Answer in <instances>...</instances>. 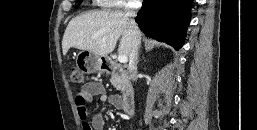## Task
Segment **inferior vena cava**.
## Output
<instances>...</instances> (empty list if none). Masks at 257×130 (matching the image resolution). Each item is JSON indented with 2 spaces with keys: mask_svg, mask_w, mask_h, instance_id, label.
I'll use <instances>...</instances> for the list:
<instances>
[{
  "mask_svg": "<svg viewBox=\"0 0 257 130\" xmlns=\"http://www.w3.org/2000/svg\"><path fill=\"white\" fill-rule=\"evenodd\" d=\"M125 17L128 19L129 29L131 33V52L129 55V72L131 79L133 81L137 80V59H138V49L141 40L140 30L134 20L136 16V11L134 8H128L125 11Z\"/></svg>",
  "mask_w": 257,
  "mask_h": 130,
  "instance_id": "1",
  "label": "inferior vena cava"
}]
</instances>
